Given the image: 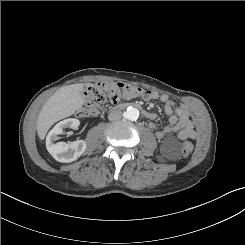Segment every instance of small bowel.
<instances>
[{
    "instance_id": "c3829d8e",
    "label": "small bowel",
    "mask_w": 245,
    "mask_h": 245,
    "mask_svg": "<svg viewBox=\"0 0 245 245\" xmlns=\"http://www.w3.org/2000/svg\"><path fill=\"white\" fill-rule=\"evenodd\" d=\"M143 98L146 100L158 99L164 104V110L168 117L169 125L163 129H157L154 122L150 124V127L155 130V135L158 139H162L172 133H176L182 140L196 138L197 134L194 124L190 118L189 110L185 105L181 104L176 106L168 95L159 94L155 91L146 92ZM150 119L154 121L156 119V115L152 113Z\"/></svg>"
}]
</instances>
